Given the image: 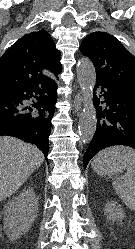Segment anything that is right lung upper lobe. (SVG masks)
Wrapping results in <instances>:
<instances>
[{
  "label": "right lung upper lobe",
  "mask_w": 135,
  "mask_h": 249,
  "mask_svg": "<svg viewBox=\"0 0 135 249\" xmlns=\"http://www.w3.org/2000/svg\"><path fill=\"white\" fill-rule=\"evenodd\" d=\"M60 55L44 29L25 34L0 57V89L11 90L51 81L42 71L48 70L57 76L62 70Z\"/></svg>",
  "instance_id": "obj_1"
}]
</instances>
